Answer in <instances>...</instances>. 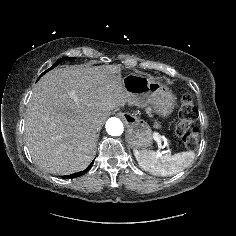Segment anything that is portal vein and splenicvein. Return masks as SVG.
Instances as JSON below:
<instances>
[{
	"label": "portal vein and splenic vein",
	"mask_w": 236,
	"mask_h": 236,
	"mask_svg": "<svg viewBox=\"0 0 236 236\" xmlns=\"http://www.w3.org/2000/svg\"><path fill=\"white\" fill-rule=\"evenodd\" d=\"M68 94L71 98H73L75 100L77 99L74 92H69ZM154 139L157 141L158 144H161L163 142L165 145H167L166 139L163 136L159 135L158 133L154 134ZM167 152H169V151H167Z\"/></svg>",
	"instance_id": "portal-vein-and-splenic-vein-1"
}]
</instances>
